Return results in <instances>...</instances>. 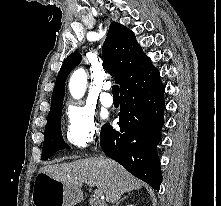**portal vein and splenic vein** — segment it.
I'll return each mask as SVG.
<instances>
[{
  "label": "portal vein and splenic vein",
  "mask_w": 221,
  "mask_h": 206,
  "mask_svg": "<svg viewBox=\"0 0 221 206\" xmlns=\"http://www.w3.org/2000/svg\"><path fill=\"white\" fill-rule=\"evenodd\" d=\"M94 197H96V198L101 197L102 199L104 198L103 193L100 190L94 191Z\"/></svg>",
  "instance_id": "obj_1"
}]
</instances>
